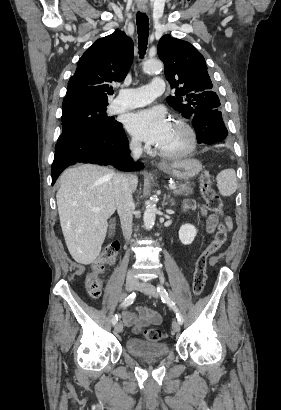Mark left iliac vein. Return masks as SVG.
<instances>
[{
	"instance_id": "1",
	"label": "left iliac vein",
	"mask_w": 281,
	"mask_h": 410,
	"mask_svg": "<svg viewBox=\"0 0 281 410\" xmlns=\"http://www.w3.org/2000/svg\"><path fill=\"white\" fill-rule=\"evenodd\" d=\"M136 289L143 292V293H145V294H147V295H149V296H151V297H154V298H158V296H159L156 287L154 285H152L151 283L138 282ZM180 328H181V325H180L179 321H177V320L173 321L172 329L175 332H179Z\"/></svg>"
}]
</instances>
